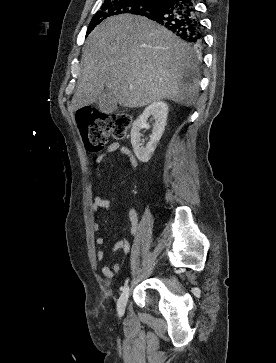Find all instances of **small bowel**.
<instances>
[{"label": "small bowel", "instance_id": "small-bowel-1", "mask_svg": "<svg viewBox=\"0 0 276 363\" xmlns=\"http://www.w3.org/2000/svg\"><path fill=\"white\" fill-rule=\"evenodd\" d=\"M114 152H120L122 155H124L128 159L132 168L137 167V165H138L137 159L135 158V156L133 155V153L131 152V150L128 147L122 146L118 142L111 143L107 147V149L103 153H101L99 156H97L95 159L96 175L99 180H101V178H102V169L100 167L101 163L103 162V160L106 158L107 155L114 153ZM109 207H110L109 201L103 197L102 191H100L94 198V201L91 205V211L93 213H97L102 210H107ZM138 223L139 222H138L137 210L135 208H132L129 212V233L131 236H134L137 233ZM91 227L94 232L99 231V224L94 219L91 222ZM104 242H105V239L101 236L96 237V239H95V243L99 246L103 245ZM130 248H131L130 240L124 238V239H120L117 242H115L112 245L111 250H112V252L123 251L125 253H128L130 251ZM96 258L99 262H103L105 260L104 251L101 249L97 250ZM121 270H122V266L120 263H115L112 267H110L108 265H104L102 267V274L104 275V277L107 280H112L116 274L121 272Z\"/></svg>", "mask_w": 276, "mask_h": 363}]
</instances>
